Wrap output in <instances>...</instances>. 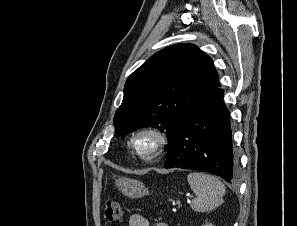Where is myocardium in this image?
<instances>
[{"mask_svg": "<svg viewBox=\"0 0 297 226\" xmlns=\"http://www.w3.org/2000/svg\"><path fill=\"white\" fill-rule=\"evenodd\" d=\"M149 136L153 139L150 147L143 149L140 147V139ZM168 144L166 133L156 126H143L137 129L131 136L129 145L138 159L143 162H152L158 159Z\"/></svg>", "mask_w": 297, "mask_h": 226, "instance_id": "obj_1", "label": "myocardium"}]
</instances>
